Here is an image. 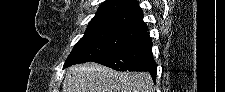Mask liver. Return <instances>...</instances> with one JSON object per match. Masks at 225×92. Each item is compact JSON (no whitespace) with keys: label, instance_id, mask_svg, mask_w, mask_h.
I'll list each match as a JSON object with an SVG mask.
<instances>
[{"label":"liver","instance_id":"liver-1","mask_svg":"<svg viewBox=\"0 0 225 92\" xmlns=\"http://www.w3.org/2000/svg\"><path fill=\"white\" fill-rule=\"evenodd\" d=\"M148 72H118L97 63L67 69L62 92H154Z\"/></svg>","mask_w":225,"mask_h":92}]
</instances>
